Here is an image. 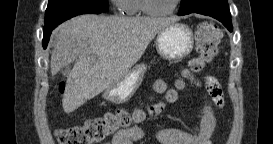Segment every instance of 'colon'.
<instances>
[{"instance_id":"1","label":"colon","mask_w":273,"mask_h":144,"mask_svg":"<svg viewBox=\"0 0 273 144\" xmlns=\"http://www.w3.org/2000/svg\"><path fill=\"white\" fill-rule=\"evenodd\" d=\"M221 33L217 24L206 20L199 24L196 31L198 56L189 63L192 72L201 71L217 53ZM181 83L177 82V86ZM64 84L58 86V92L63 93ZM176 97L174 89L168 92V99ZM160 103L152 104L146 111L137 110L130 113L124 109L109 112L102 117L87 120L82 125L62 128L57 131V138L61 144H93L101 142L119 130L128 127L132 122L141 120L146 114H157L161 111Z\"/></svg>"}]
</instances>
